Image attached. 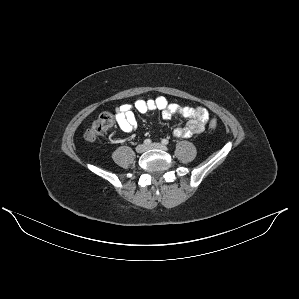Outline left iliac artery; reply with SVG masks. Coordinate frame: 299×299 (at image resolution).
Instances as JSON below:
<instances>
[{
    "label": "left iliac artery",
    "instance_id": "44dca946",
    "mask_svg": "<svg viewBox=\"0 0 299 299\" xmlns=\"http://www.w3.org/2000/svg\"><path fill=\"white\" fill-rule=\"evenodd\" d=\"M162 143H163L164 145H167V144H169V141H168L167 139H162Z\"/></svg>",
    "mask_w": 299,
    "mask_h": 299
}]
</instances>
